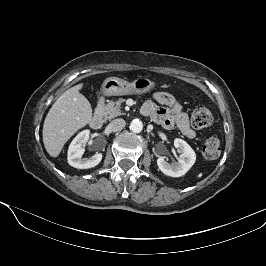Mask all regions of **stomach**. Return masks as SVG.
I'll return each instance as SVG.
<instances>
[{"label":"stomach","mask_w":266,"mask_h":266,"mask_svg":"<svg viewBox=\"0 0 266 266\" xmlns=\"http://www.w3.org/2000/svg\"><path fill=\"white\" fill-rule=\"evenodd\" d=\"M155 85V82L147 77H138L133 82L109 77L102 84V92L106 96L144 94L154 89Z\"/></svg>","instance_id":"stomach-1"}]
</instances>
